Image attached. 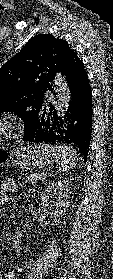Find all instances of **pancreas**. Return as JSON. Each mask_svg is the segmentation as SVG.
Returning <instances> with one entry per match:
<instances>
[{
	"mask_svg": "<svg viewBox=\"0 0 113 279\" xmlns=\"http://www.w3.org/2000/svg\"><path fill=\"white\" fill-rule=\"evenodd\" d=\"M45 179L44 174H31L27 177V181L32 184H37L39 181H43Z\"/></svg>",
	"mask_w": 113,
	"mask_h": 279,
	"instance_id": "1",
	"label": "pancreas"
}]
</instances>
